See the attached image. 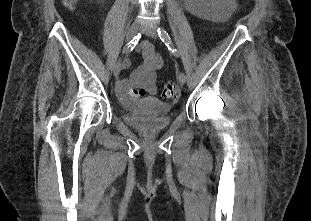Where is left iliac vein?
<instances>
[{"mask_svg":"<svg viewBox=\"0 0 311 221\" xmlns=\"http://www.w3.org/2000/svg\"><path fill=\"white\" fill-rule=\"evenodd\" d=\"M157 27L154 25H144L142 31L149 37L157 38ZM178 81L181 85L186 83V75L183 72H180L178 75Z\"/></svg>","mask_w":311,"mask_h":221,"instance_id":"left-iliac-vein-1","label":"left iliac vein"}]
</instances>
